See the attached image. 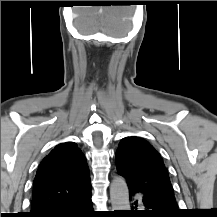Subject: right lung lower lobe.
Listing matches in <instances>:
<instances>
[{"label": "right lung lower lobe", "mask_w": 217, "mask_h": 217, "mask_svg": "<svg viewBox=\"0 0 217 217\" xmlns=\"http://www.w3.org/2000/svg\"><path fill=\"white\" fill-rule=\"evenodd\" d=\"M91 193L83 198L64 201L48 211L29 217H94Z\"/></svg>", "instance_id": "1"}]
</instances>
